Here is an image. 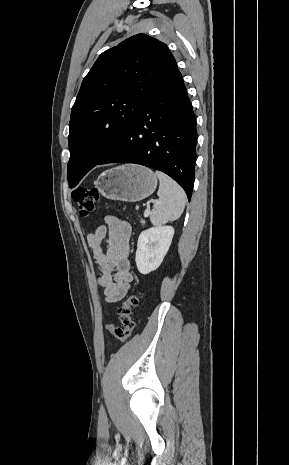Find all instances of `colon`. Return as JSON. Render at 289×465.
I'll return each mask as SVG.
<instances>
[{
  "label": "colon",
  "mask_w": 289,
  "mask_h": 465,
  "mask_svg": "<svg viewBox=\"0 0 289 465\" xmlns=\"http://www.w3.org/2000/svg\"><path fill=\"white\" fill-rule=\"evenodd\" d=\"M71 196L77 204L81 216L87 217L94 211L99 193L96 188L79 187L72 191ZM139 297V291L134 292L118 308L121 327L109 323L105 324V329L120 341H126L133 332L134 322L131 315L132 310L139 304Z\"/></svg>",
  "instance_id": "1"
}]
</instances>
